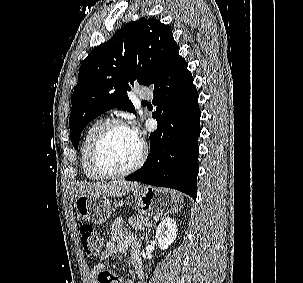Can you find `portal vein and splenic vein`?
Listing matches in <instances>:
<instances>
[{"instance_id": "obj_1", "label": "portal vein and splenic vein", "mask_w": 303, "mask_h": 283, "mask_svg": "<svg viewBox=\"0 0 303 283\" xmlns=\"http://www.w3.org/2000/svg\"><path fill=\"white\" fill-rule=\"evenodd\" d=\"M151 225H152V223H151V222H149V223H148V226H151Z\"/></svg>"}]
</instances>
